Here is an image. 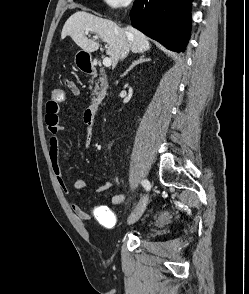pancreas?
<instances>
[{
	"label": "pancreas",
	"instance_id": "1",
	"mask_svg": "<svg viewBox=\"0 0 249 294\" xmlns=\"http://www.w3.org/2000/svg\"><path fill=\"white\" fill-rule=\"evenodd\" d=\"M100 83V87H99ZM108 88L106 77H101L97 83H95V93H98V90H101V95H106V90Z\"/></svg>",
	"mask_w": 249,
	"mask_h": 294
}]
</instances>
